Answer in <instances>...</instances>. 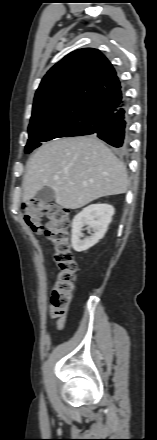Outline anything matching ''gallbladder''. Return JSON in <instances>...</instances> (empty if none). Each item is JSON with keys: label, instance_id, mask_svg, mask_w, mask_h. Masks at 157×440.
Masks as SVG:
<instances>
[{"label": "gallbladder", "instance_id": "bac80fb5", "mask_svg": "<svg viewBox=\"0 0 157 440\" xmlns=\"http://www.w3.org/2000/svg\"><path fill=\"white\" fill-rule=\"evenodd\" d=\"M36 198L40 202L47 204V203L52 202L55 199V192L53 189H51L49 187H44L40 191L37 192Z\"/></svg>", "mask_w": 157, "mask_h": 440}]
</instances>
